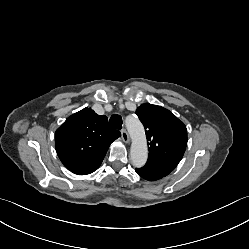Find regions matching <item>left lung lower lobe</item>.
<instances>
[{
  "instance_id": "obj_1",
  "label": "left lung lower lobe",
  "mask_w": 249,
  "mask_h": 249,
  "mask_svg": "<svg viewBox=\"0 0 249 249\" xmlns=\"http://www.w3.org/2000/svg\"><path fill=\"white\" fill-rule=\"evenodd\" d=\"M136 172L139 176H141L142 178L149 180V181H155V180L161 179L158 176H155V175H152L150 173L143 171L141 168L140 169L136 168Z\"/></svg>"
}]
</instances>
